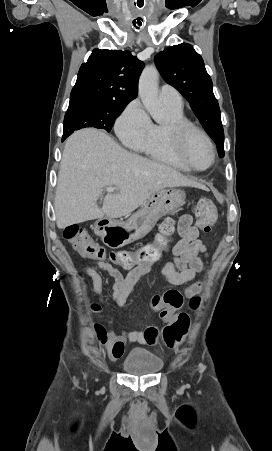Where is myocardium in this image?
<instances>
[{"label": "myocardium", "instance_id": "1", "mask_svg": "<svg viewBox=\"0 0 272 451\" xmlns=\"http://www.w3.org/2000/svg\"><path fill=\"white\" fill-rule=\"evenodd\" d=\"M191 134L198 135L210 153V163L207 168L214 165L216 151L207 134L197 126L182 119H171L166 128V139L171 142L175 151L179 166L186 172H197L200 170L190 167L185 161L186 144Z\"/></svg>", "mask_w": 272, "mask_h": 451}]
</instances>
